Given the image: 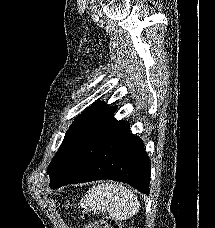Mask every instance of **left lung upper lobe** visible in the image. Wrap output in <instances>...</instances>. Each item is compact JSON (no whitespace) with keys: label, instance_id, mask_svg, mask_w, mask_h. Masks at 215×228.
Returning a JSON list of instances; mask_svg holds the SVG:
<instances>
[{"label":"left lung upper lobe","instance_id":"obj_1","mask_svg":"<svg viewBox=\"0 0 215 228\" xmlns=\"http://www.w3.org/2000/svg\"><path fill=\"white\" fill-rule=\"evenodd\" d=\"M115 111L116 107L109 108L104 102H96L74 120L47 169L51 179L62 169L79 146Z\"/></svg>","mask_w":215,"mask_h":228}]
</instances>
